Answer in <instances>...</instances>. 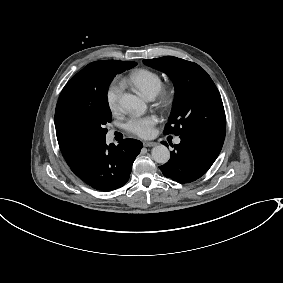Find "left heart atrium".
Instances as JSON below:
<instances>
[{"label": "left heart atrium", "instance_id": "obj_1", "mask_svg": "<svg viewBox=\"0 0 283 283\" xmlns=\"http://www.w3.org/2000/svg\"><path fill=\"white\" fill-rule=\"evenodd\" d=\"M156 121L157 117L154 115L143 117L132 115L126 123V128L130 132L140 136H149L152 133V127Z\"/></svg>", "mask_w": 283, "mask_h": 283}]
</instances>
